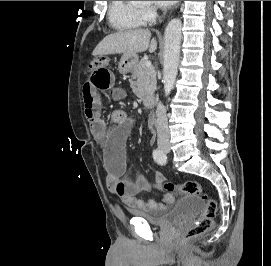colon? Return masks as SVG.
I'll list each match as a JSON object with an SVG mask.
<instances>
[{"instance_id":"colon-1","label":"colon","mask_w":271,"mask_h":266,"mask_svg":"<svg viewBox=\"0 0 271 266\" xmlns=\"http://www.w3.org/2000/svg\"><path fill=\"white\" fill-rule=\"evenodd\" d=\"M109 59L107 57H98L93 59L89 64V70L108 66ZM164 188L169 192H176L185 195H199L205 200V208L201 217L188 229L185 234L187 240H192L207 233L213 226L214 218L217 212L216 201L209 197L203 190L201 184L197 181H187L181 184L165 182Z\"/></svg>"}]
</instances>
